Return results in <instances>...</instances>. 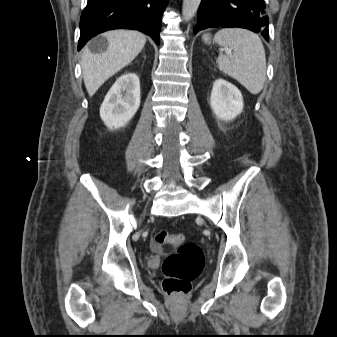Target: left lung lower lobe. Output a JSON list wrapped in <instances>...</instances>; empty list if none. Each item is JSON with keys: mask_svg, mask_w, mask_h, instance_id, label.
I'll list each match as a JSON object with an SVG mask.
<instances>
[{"mask_svg": "<svg viewBox=\"0 0 337 337\" xmlns=\"http://www.w3.org/2000/svg\"><path fill=\"white\" fill-rule=\"evenodd\" d=\"M264 0H202L194 33L214 27H240L261 32L268 40V16Z\"/></svg>", "mask_w": 337, "mask_h": 337, "instance_id": "left-lung-lower-lobe-1", "label": "left lung lower lobe"}]
</instances>
